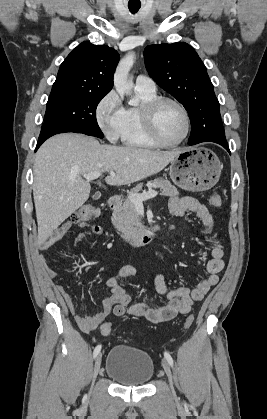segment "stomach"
Segmentation results:
<instances>
[{
  "label": "stomach",
  "mask_w": 267,
  "mask_h": 419,
  "mask_svg": "<svg viewBox=\"0 0 267 419\" xmlns=\"http://www.w3.org/2000/svg\"><path fill=\"white\" fill-rule=\"evenodd\" d=\"M222 164L217 155L204 147L184 149L170 165V177L180 188L206 191L219 180Z\"/></svg>",
  "instance_id": "obj_1"
}]
</instances>
